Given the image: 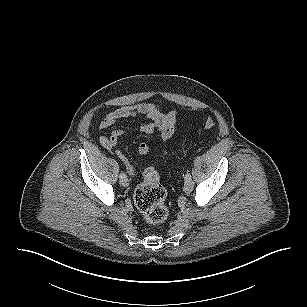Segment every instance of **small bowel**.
<instances>
[{
  "instance_id": "obj_1",
  "label": "small bowel",
  "mask_w": 307,
  "mask_h": 307,
  "mask_svg": "<svg viewBox=\"0 0 307 307\" xmlns=\"http://www.w3.org/2000/svg\"><path fill=\"white\" fill-rule=\"evenodd\" d=\"M137 116H143L148 120V122L142 124L139 128V131L145 135L158 133L163 141H168L175 133L177 112L174 110L163 112L157 105L152 103L117 108L101 120L99 128L104 130L119 120ZM123 136V130L115 129L109 135L102 136L100 143L104 148L112 149ZM150 151L151 149L146 143H140L137 147V152L140 155H148ZM116 155L131 176H135L138 173L139 167L132 164L130 159L122 151L116 150Z\"/></svg>"
}]
</instances>
